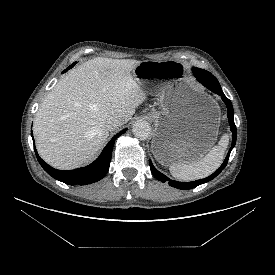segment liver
I'll return each instance as SVG.
<instances>
[{"label":"liver","mask_w":275,"mask_h":275,"mask_svg":"<svg viewBox=\"0 0 275 275\" xmlns=\"http://www.w3.org/2000/svg\"><path fill=\"white\" fill-rule=\"evenodd\" d=\"M141 61L97 57L70 71L43 99L34 121L36 147L51 166L91 162L109 136L106 121L128 122L146 94L131 74Z\"/></svg>","instance_id":"liver-1"}]
</instances>
